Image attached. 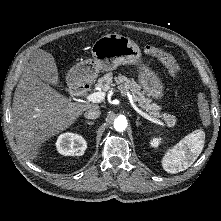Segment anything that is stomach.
<instances>
[{
	"label": "stomach",
	"mask_w": 221,
	"mask_h": 221,
	"mask_svg": "<svg viewBox=\"0 0 221 221\" xmlns=\"http://www.w3.org/2000/svg\"><path fill=\"white\" fill-rule=\"evenodd\" d=\"M92 59H86L73 66L68 75L74 85L91 82L98 73L112 71L119 65H137L139 81L149 95L161 99L164 87L159 76L141 62V50L129 37L107 34L97 39L91 47Z\"/></svg>",
	"instance_id": "0dacf381"
}]
</instances>
